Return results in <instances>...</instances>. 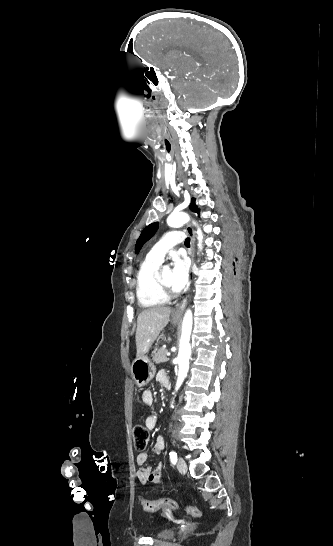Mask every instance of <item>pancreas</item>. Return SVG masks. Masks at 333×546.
Listing matches in <instances>:
<instances>
[{
	"mask_svg": "<svg viewBox=\"0 0 333 546\" xmlns=\"http://www.w3.org/2000/svg\"><path fill=\"white\" fill-rule=\"evenodd\" d=\"M167 349L160 348L153 356V361L157 364L167 362L169 359L167 358Z\"/></svg>",
	"mask_w": 333,
	"mask_h": 546,
	"instance_id": "cf45deb5",
	"label": "pancreas"
}]
</instances>
